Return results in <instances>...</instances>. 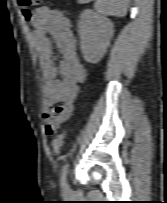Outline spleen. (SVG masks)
Wrapping results in <instances>:
<instances>
[{
  "label": "spleen",
  "mask_w": 167,
  "mask_h": 203,
  "mask_svg": "<svg viewBox=\"0 0 167 203\" xmlns=\"http://www.w3.org/2000/svg\"><path fill=\"white\" fill-rule=\"evenodd\" d=\"M129 0H96L95 9L102 15L123 17Z\"/></svg>",
  "instance_id": "3e777b00"
}]
</instances>
